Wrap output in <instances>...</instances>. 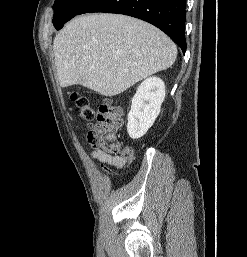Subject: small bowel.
I'll use <instances>...</instances> for the list:
<instances>
[{
    "label": "small bowel",
    "instance_id": "c3829d8e",
    "mask_svg": "<svg viewBox=\"0 0 247 257\" xmlns=\"http://www.w3.org/2000/svg\"><path fill=\"white\" fill-rule=\"evenodd\" d=\"M131 156L125 157L122 155H111L103 150L95 149L90 153V156L97 160L100 166L109 171V167H114L117 170H121L133 157V151L131 148Z\"/></svg>",
    "mask_w": 247,
    "mask_h": 257
}]
</instances>
